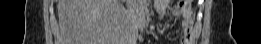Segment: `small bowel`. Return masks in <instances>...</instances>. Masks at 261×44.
<instances>
[{
	"label": "small bowel",
	"instance_id": "obj_1",
	"mask_svg": "<svg viewBox=\"0 0 261 44\" xmlns=\"http://www.w3.org/2000/svg\"><path fill=\"white\" fill-rule=\"evenodd\" d=\"M138 11L147 10V4L138 2L136 5ZM152 7L156 11L159 17L164 16L170 8V1L168 0H155L152 2ZM175 15H180L182 36L180 39L181 44H190L193 39L194 33V21H193V11L189 6L184 8L176 7L171 11Z\"/></svg>",
	"mask_w": 261,
	"mask_h": 44
}]
</instances>
